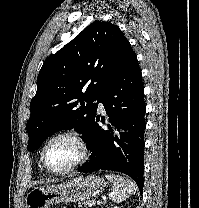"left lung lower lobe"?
Here are the masks:
<instances>
[{
    "mask_svg": "<svg viewBox=\"0 0 199 208\" xmlns=\"http://www.w3.org/2000/svg\"><path fill=\"white\" fill-rule=\"evenodd\" d=\"M97 100L104 105L110 123L108 129H103L98 125L99 116H95L85 141L91 152L90 160L78 171L103 169L125 173L135 180L142 193L146 108L136 54Z\"/></svg>",
    "mask_w": 199,
    "mask_h": 208,
    "instance_id": "obj_1",
    "label": "left lung lower lobe"
}]
</instances>
